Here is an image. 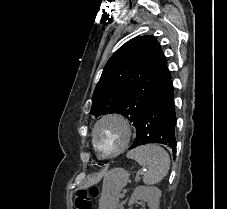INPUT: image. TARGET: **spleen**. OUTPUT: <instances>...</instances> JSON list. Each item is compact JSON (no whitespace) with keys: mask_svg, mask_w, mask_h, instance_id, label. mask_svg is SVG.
Wrapping results in <instances>:
<instances>
[{"mask_svg":"<svg viewBox=\"0 0 227 209\" xmlns=\"http://www.w3.org/2000/svg\"><path fill=\"white\" fill-rule=\"evenodd\" d=\"M127 157L137 161L143 169H147L143 177L145 185L160 183L169 171V155L158 145H141V147L129 151Z\"/></svg>","mask_w":227,"mask_h":209,"instance_id":"1","label":"spleen"}]
</instances>
